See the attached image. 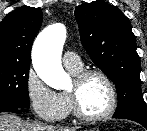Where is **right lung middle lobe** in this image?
Returning a JSON list of instances; mask_svg holds the SVG:
<instances>
[{"label":"right lung middle lobe","mask_w":147,"mask_h":131,"mask_svg":"<svg viewBox=\"0 0 147 131\" xmlns=\"http://www.w3.org/2000/svg\"><path fill=\"white\" fill-rule=\"evenodd\" d=\"M29 66L0 62V104L29 108Z\"/></svg>","instance_id":"dd1d6c3e"}]
</instances>
